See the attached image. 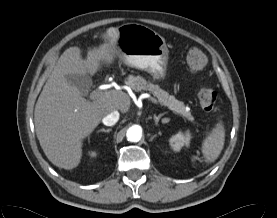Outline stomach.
I'll return each instance as SVG.
<instances>
[{
	"label": "stomach",
	"instance_id": "obj_1",
	"mask_svg": "<svg viewBox=\"0 0 277 218\" xmlns=\"http://www.w3.org/2000/svg\"><path fill=\"white\" fill-rule=\"evenodd\" d=\"M117 30L115 46L118 57L130 67L147 71L154 80L164 79L169 53L165 39L138 23H126Z\"/></svg>",
	"mask_w": 277,
	"mask_h": 218
}]
</instances>
